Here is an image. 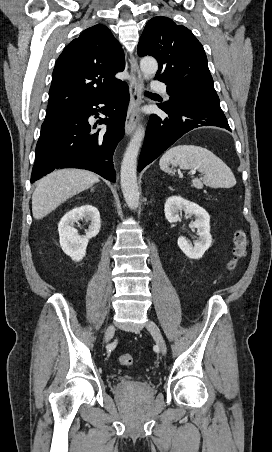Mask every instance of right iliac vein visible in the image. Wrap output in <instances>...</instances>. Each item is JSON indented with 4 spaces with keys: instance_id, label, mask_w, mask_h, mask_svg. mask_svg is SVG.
Listing matches in <instances>:
<instances>
[{
    "instance_id": "obj_1",
    "label": "right iliac vein",
    "mask_w": 272,
    "mask_h": 452,
    "mask_svg": "<svg viewBox=\"0 0 272 452\" xmlns=\"http://www.w3.org/2000/svg\"><path fill=\"white\" fill-rule=\"evenodd\" d=\"M115 332L113 324H109L105 331V342L108 343Z\"/></svg>"
}]
</instances>
